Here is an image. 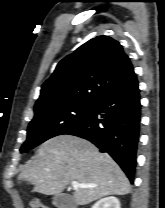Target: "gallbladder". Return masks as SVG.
<instances>
[{
    "mask_svg": "<svg viewBox=\"0 0 165 208\" xmlns=\"http://www.w3.org/2000/svg\"><path fill=\"white\" fill-rule=\"evenodd\" d=\"M52 203L57 208H77V204L73 197L66 193L55 195L52 198Z\"/></svg>",
    "mask_w": 165,
    "mask_h": 208,
    "instance_id": "obj_1",
    "label": "gallbladder"
}]
</instances>
